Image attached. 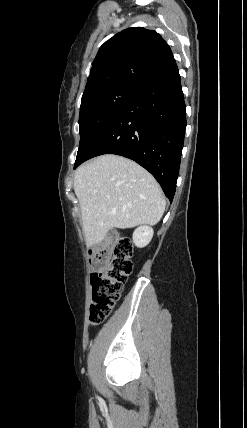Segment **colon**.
<instances>
[{
	"instance_id": "1",
	"label": "colon",
	"mask_w": 247,
	"mask_h": 428,
	"mask_svg": "<svg viewBox=\"0 0 247 428\" xmlns=\"http://www.w3.org/2000/svg\"><path fill=\"white\" fill-rule=\"evenodd\" d=\"M131 255L130 240L121 236L95 252L94 266L97 271L91 276V323L103 322L113 310L133 269Z\"/></svg>"
}]
</instances>
